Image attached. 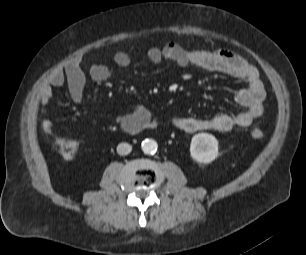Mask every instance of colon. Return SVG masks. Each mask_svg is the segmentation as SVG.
Returning a JSON list of instances; mask_svg holds the SVG:
<instances>
[{
    "instance_id": "5ec220e1",
    "label": "colon",
    "mask_w": 306,
    "mask_h": 255,
    "mask_svg": "<svg viewBox=\"0 0 306 255\" xmlns=\"http://www.w3.org/2000/svg\"><path fill=\"white\" fill-rule=\"evenodd\" d=\"M251 136L254 139H261L264 136L263 131L260 128H253L251 130ZM56 145L60 154L67 159L73 158L78 151L77 141L69 138H59L56 141Z\"/></svg>"
}]
</instances>
